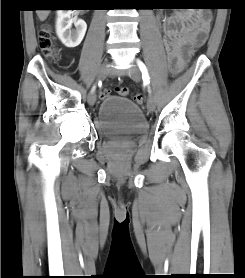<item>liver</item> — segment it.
Here are the masks:
<instances>
[{
    "mask_svg": "<svg viewBox=\"0 0 245 278\" xmlns=\"http://www.w3.org/2000/svg\"><path fill=\"white\" fill-rule=\"evenodd\" d=\"M36 12L40 21H44L48 17L50 10H37Z\"/></svg>",
    "mask_w": 245,
    "mask_h": 278,
    "instance_id": "liver-1",
    "label": "liver"
}]
</instances>
